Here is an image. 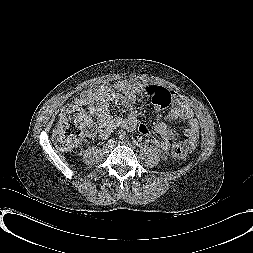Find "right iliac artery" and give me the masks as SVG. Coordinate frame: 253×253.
Here are the masks:
<instances>
[{"label":"right iliac artery","instance_id":"1","mask_svg":"<svg viewBox=\"0 0 253 253\" xmlns=\"http://www.w3.org/2000/svg\"><path fill=\"white\" fill-rule=\"evenodd\" d=\"M114 142H115V141L112 140V139L108 140V144H113Z\"/></svg>","mask_w":253,"mask_h":253}]
</instances>
